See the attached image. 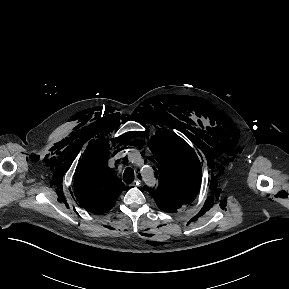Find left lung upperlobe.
Listing matches in <instances>:
<instances>
[{"instance_id": "obj_1", "label": "left lung upper lobe", "mask_w": 289, "mask_h": 289, "mask_svg": "<svg viewBox=\"0 0 289 289\" xmlns=\"http://www.w3.org/2000/svg\"><path fill=\"white\" fill-rule=\"evenodd\" d=\"M156 163L159 187L150 191L157 206L165 212H177L195 199L201 184V164L195 152L176 134L158 131L149 142ZM145 188V187H144Z\"/></svg>"}]
</instances>
